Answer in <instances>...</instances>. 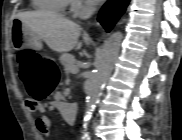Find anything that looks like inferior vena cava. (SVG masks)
I'll return each mask as SVG.
<instances>
[{"mask_svg": "<svg viewBox=\"0 0 182 140\" xmlns=\"http://www.w3.org/2000/svg\"><path fill=\"white\" fill-rule=\"evenodd\" d=\"M95 11V8L91 5H88L84 11V13H82L81 18L82 19H88Z\"/></svg>", "mask_w": 182, "mask_h": 140, "instance_id": "inferior-vena-cava-1", "label": "inferior vena cava"}]
</instances>
